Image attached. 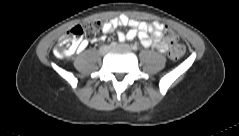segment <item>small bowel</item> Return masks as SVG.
<instances>
[{
    "instance_id": "c3829d8e",
    "label": "small bowel",
    "mask_w": 239,
    "mask_h": 136,
    "mask_svg": "<svg viewBox=\"0 0 239 136\" xmlns=\"http://www.w3.org/2000/svg\"><path fill=\"white\" fill-rule=\"evenodd\" d=\"M120 26H128L130 29L125 33L118 34L119 41L123 42L138 38L145 47H154L162 53L167 51L168 44L163 38V30L165 28L163 23L155 21L148 24L146 22H139L131 19L126 15H120L104 23L102 32L104 34H108ZM92 41L95 42L97 39ZM85 45L86 41L82 42L78 49H83Z\"/></svg>"
}]
</instances>
